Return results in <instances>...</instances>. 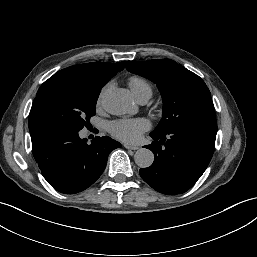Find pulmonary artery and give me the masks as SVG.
<instances>
[{
	"mask_svg": "<svg viewBox=\"0 0 257 257\" xmlns=\"http://www.w3.org/2000/svg\"><path fill=\"white\" fill-rule=\"evenodd\" d=\"M149 98H150V96L144 95V96L138 98L137 101H138L139 103H141V104H144V103H146V102L148 101Z\"/></svg>",
	"mask_w": 257,
	"mask_h": 257,
	"instance_id": "obj_1",
	"label": "pulmonary artery"
}]
</instances>
